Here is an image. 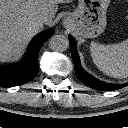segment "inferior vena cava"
Instances as JSON below:
<instances>
[{
	"instance_id": "obj_1",
	"label": "inferior vena cava",
	"mask_w": 128,
	"mask_h": 128,
	"mask_svg": "<svg viewBox=\"0 0 128 128\" xmlns=\"http://www.w3.org/2000/svg\"><path fill=\"white\" fill-rule=\"evenodd\" d=\"M38 18L41 22L46 23L50 19V14L46 9H44L39 13Z\"/></svg>"
}]
</instances>
